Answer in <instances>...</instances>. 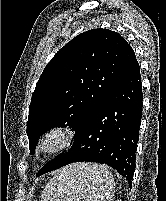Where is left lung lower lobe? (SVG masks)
Listing matches in <instances>:
<instances>
[{
    "label": "left lung lower lobe",
    "mask_w": 166,
    "mask_h": 201,
    "mask_svg": "<svg viewBox=\"0 0 166 201\" xmlns=\"http://www.w3.org/2000/svg\"><path fill=\"white\" fill-rule=\"evenodd\" d=\"M142 105L140 67L135 58L76 131L72 148L44 165L36 176L75 162H97L116 169L131 186Z\"/></svg>",
    "instance_id": "1"
}]
</instances>
